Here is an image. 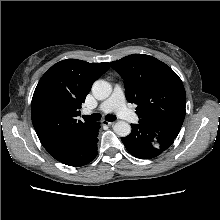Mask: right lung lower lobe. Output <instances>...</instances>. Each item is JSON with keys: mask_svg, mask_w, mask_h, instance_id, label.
<instances>
[{"mask_svg": "<svg viewBox=\"0 0 220 220\" xmlns=\"http://www.w3.org/2000/svg\"><path fill=\"white\" fill-rule=\"evenodd\" d=\"M100 124L95 123L87 132L79 137L77 142L61 157L56 158L69 166H83L91 162L97 156V141Z\"/></svg>", "mask_w": 220, "mask_h": 220, "instance_id": "obj_1", "label": "right lung lower lobe"}]
</instances>
